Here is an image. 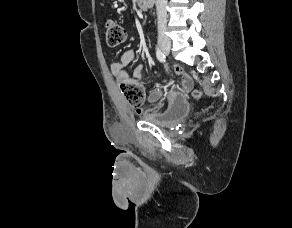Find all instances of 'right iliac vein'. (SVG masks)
<instances>
[{
	"instance_id": "63e3f726",
	"label": "right iliac vein",
	"mask_w": 292,
	"mask_h": 228,
	"mask_svg": "<svg viewBox=\"0 0 292 228\" xmlns=\"http://www.w3.org/2000/svg\"><path fill=\"white\" fill-rule=\"evenodd\" d=\"M160 46H161V49H162L163 51H165V52H169L170 49H171V44L168 43V42H162V43L160 44Z\"/></svg>"
}]
</instances>
